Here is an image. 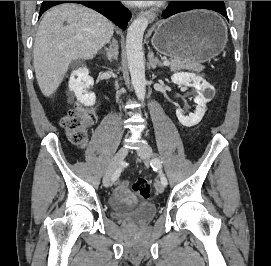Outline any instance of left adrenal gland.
I'll return each mask as SVG.
<instances>
[{
  "mask_svg": "<svg viewBox=\"0 0 271 266\" xmlns=\"http://www.w3.org/2000/svg\"><path fill=\"white\" fill-rule=\"evenodd\" d=\"M148 60L149 65L152 67V69H155L157 66L163 67V64L158 60V58L154 57L153 51L149 52Z\"/></svg>",
  "mask_w": 271,
  "mask_h": 266,
  "instance_id": "a2214340",
  "label": "left adrenal gland"
}]
</instances>
